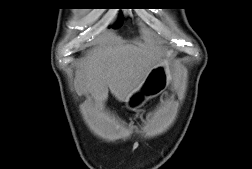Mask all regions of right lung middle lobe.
Here are the masks:
<instances>
[{
	"label": "right lung middle lobe",
	"mask_w": 252,
	"mask_h": 169,
	"mask_svg": "<svg viewBox=\"0 0 252 169\" xmlns=\"http://www.w3.org/2000/svg\"><path fill=\"white\" fill-rule=\"evenodd\" d=\"M122 18L120 19L119 24L116 27H119L121 25Z\"/></svg>",
	"instance_id": "dd1d6c3e"
}]
</instances>
